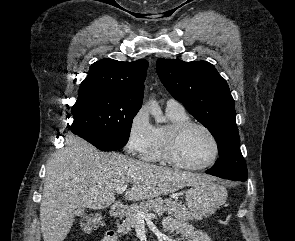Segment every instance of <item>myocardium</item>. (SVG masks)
<instances>
[{"mask_svg":"<svg viewBox=\"0 0 295 241\" xmlns=\"http://www.w3.org/2000/svg\"><path fill=\"white\" fill-rule=\"evenodd\" d=\"M190 128L201 129L209 136V138L211 139L213 143V146H214L213 155L210 158V160H208L204 164L190 165L180 161L176 157V154H175L176 144L180 136L184 132L189 130ZM161 152H162L163 159L167 161L169 164L181 169H185V170L199 171L212 166L217 161L220 155V144L217 137L215 136V134L210 128H208L206 125L202 123L189 120V121L174 123L167 128L163 137Z\"/></svg>","mask_w":295,"mask_h":241,"instance_id":"myocardium-1","label":"myocardium"}]
</instances>
